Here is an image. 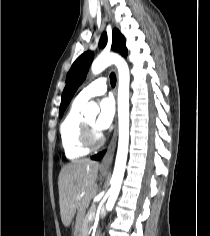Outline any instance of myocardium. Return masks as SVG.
Returning a JSON list of instances; mask_svg holds the SVG:
<instances>
[{
  "label": "myocardium",
  "instance_id": "f54148a6",
  "mask_svg": "<svg viewBox=\"0 0 210 236\" xmlns=\"http://www.w3.org/2000/svg\"><path fill=\"white\" fill-rule=\"evenodd\" d=\"M82 142L83 145L89 149L98 148L104 142L103 136L98 133L94 126L88 123L86 119L83 121Z\"/></svg>",
  "mask_w": 210,
  "mask_h": 236
}]
</instances>
